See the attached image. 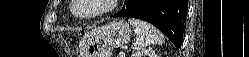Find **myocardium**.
<instances>
[{
  "label": "myocardium",
  "mask_w": 249,
  "mask_h": 57,
  "mask_svg": "<svg viewBox=\"0 0 249 57\" xmlns=\"http://www.w3.org/2000/svg\"><path fill=\"white\" fill-rule=\"evenodd\" d=\"M103 1H104V6L100 10H98L94 13L85 14V15L77 14L75 11V8H76L79 0H72L71 1L70 10H71V13L76 18L81 19V20H86V19H92V18H95V17L105 15L107 13L112 12L116 8V6L119 2V0H103Z\"/></svg>",
  "instance_id": "obj_1"
}]
</instances>
